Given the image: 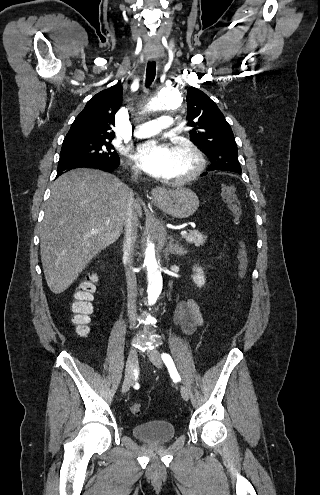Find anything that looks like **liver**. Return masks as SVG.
Here are the masks:
<instances>
[{
	"label": "liver",
	"instance_id": "obj_1",
	"mask_svg": "<svg viewBox=\"0 0 320 495\" xmlns=\"http://www.w3.org/2000/svg\"><path fill=\"white\" fill-rule=\"evenodd\" d=\"M128 188L111 174L91 169L63 173L51 187L40 231L46 282L64 292L87 263L113 244L125 225ZM141 217L140 204L135 202Z\"/></svg>",
	"mask_w": 320,
	"mask_h": 495
}]
</instances>
